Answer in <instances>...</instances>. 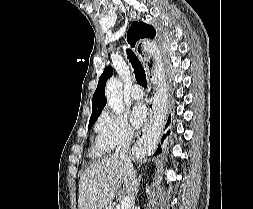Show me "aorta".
Segmentation results:
<instances>
[{"label":"aorta","mask_w":253,"mask_h":209,"mask_svg":"<svg viewBox=\"0 0 253 209\" xmlns=\"http://www.w3.org/2000/svg\"><path fill=\"white\" fill-rule=\"evenodd\" d=\"M105 96L109 107L116 114L124 110L122 83L117 78L108 80L105 87Z\"/></svg>","instance_id":"1"}]
</instances>
